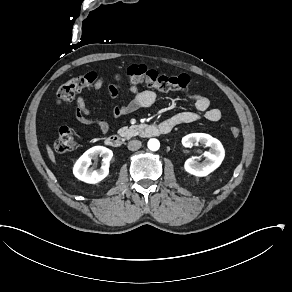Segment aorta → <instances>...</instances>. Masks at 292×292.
<instances>
[{"instance_id": "obj_1", "label": "aorta", "mask_w": 292, "mask_h": 292, "mask_svg": "<svg viewBox=\"0 0 292 292\" xmlns=\"http://www.w3.org/2000/svg\"><path fill=\"white\" fill-rule=\"evenodd\" d=\"M148 148L151 151H157L160 148V143L157 139H150L148 141Z\"/></svg>"}]
</instances>
